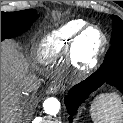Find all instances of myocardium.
Returning a JSON list of instances; mask_svg holds the SVG:
<instances>
[{
    "mask_svg": "<svg viewBox=\"0 0 123 123\" xmlns=\"http://www.w3.org/2000/svg\"><path fill=\"white\" fill-rule=\"evenodd\" d=\"M91 29H94L98 32L101 37V42L99 46L95 49V51L91 55H86L82 49H79L80 41L85 38L87 32ZM108 43V38L105 32L98 27L97 25H89L84 28L74 43V63L76 69L81 73H88L91 71L98 63L100 56L105 51V48Z\"/></svg>",
    "mask_w": 123,
    "mask_h": 123,
    "instance_id": "obj_1",
    "label": "myocardium"
}]
</instances>
